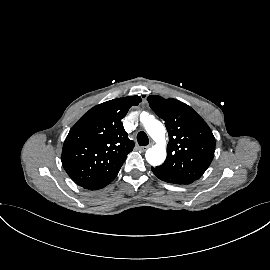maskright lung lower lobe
Segmentation results:
<instances>
[{
    "label": "right lung lower lobe",
    "instance_id": "right-lung-lower-lobe-1",
    "mask_svg": "<svg viewBox=\"0 0 270 270\" xmlns=\"http://www.w3.org/2000/svg\"><path fill=\"white\" fill-rule=\"evenodd\" d=\"M115 177H116V176L111 177V178H109V179H106V180H104V181L95 183V184H90V185L84 186L83 188L89 189V190H97V189H101V188L105 187L106 185H108L111 181H113V180L115 179Z\"/></svg>",
    "mask_w": 270,
    "mask_h": 270
}]
</instances>
